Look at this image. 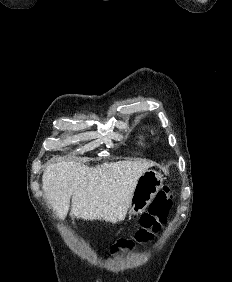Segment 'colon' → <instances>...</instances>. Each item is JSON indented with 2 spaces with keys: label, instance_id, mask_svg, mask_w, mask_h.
I'll use <instances>...</instances> for the list:
<instances>
[{
  "label": "colon",
  "instance_id": "obj_1",
  "mask_svg": "<svg viewBox=\"0 0 232 282\" xmlns=\"http://www.w3.org/2000/svg\"><path fill=\"white\" fill-rule=\"evenodd\" d=\"M173 193L169 187L160 190L152 203L149 211L141 217L140 228L131 238L120 239L112 246L111 251L114 253L131 249L137 243H146L152 239L161 226L167 222L169 212L172 207Z\"/></svg>",
  "mask_w": 232,
  "mask_h": 282
}]
</instances>
